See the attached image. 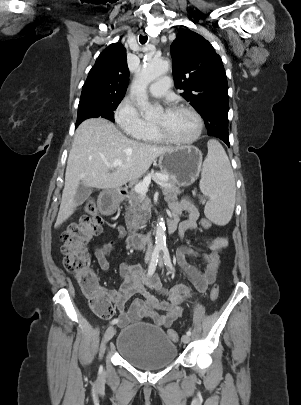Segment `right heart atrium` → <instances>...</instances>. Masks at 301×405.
I'll return each instance as SVG.
<instances>
[{
  "instance_id": "1",
  "label": "right heart atrium",
  "mask_w": 301,
  "mask_h": 405,
  "mask_svg": "<svg viewBox=\"0 0 301 405\" xmlns=\"http://www.w3.org/2000/svg\"><path fill=\"white\" fill-rule=\"evenodd\" d=\"M114 117L119 127L129 135H137L149 127L137 107L129 99H123L117 106Z\"/></svg>"
}]
</instances>
